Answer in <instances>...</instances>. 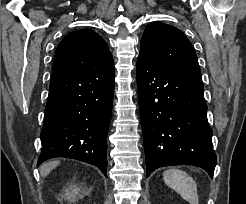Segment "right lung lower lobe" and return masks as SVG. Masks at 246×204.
Masks as SVG:
<instances>
[{
  "instance_id": "98d812e1",
  "label": "right lung lower lobe",
  "mask_w": 246,
  "mask_h": 204,
  "mask_svg": "<svg viewBox=\"0 0 246 204\" xmlns=\"http://www.w3.org/2000/svg\"><path fill=\"white\" fill-rule=\"evenodd\" d=\"M114 81V67L52 76L37 166L50 158H73L106 176Z\"/></svg>"
}]
</instances>
